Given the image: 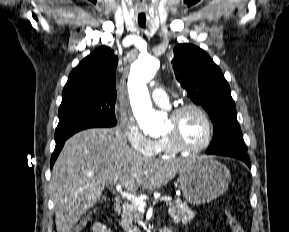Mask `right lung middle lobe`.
<instances>
[{
  "label": "right lung middle lobe",
  "instance_id": "1",
  "mask_svg": "<svg viewBox=\"0 0 289 232\" xmlns=\"http://www.w3.org/2000/svg\"><path fill=\"white\" fill-rule=\"evenodd\" d=\"M115 102V98L89 96L61 103L59 124L55 132L56 143L87 128L115 126Z\"/></svg>",
  "mask_w": 289,
  "mask_h": 232
}]
</instances>
